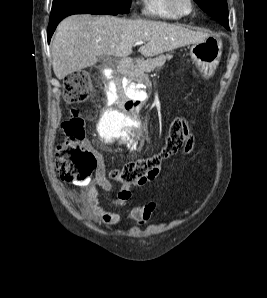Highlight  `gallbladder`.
I'll return each mask as SVG.
<instances>
[{"label":"gallbladder","instance_id":"1","mask_svg":"<svg viewBox=\"0 0 267 298\" xmlns=\"http://www.w3.org/2000/svg\"><path fill=\"white\" fill-rule=\"evenodd\" d=\"M109 59V56H99L100 61H108Z\"/></svg>","mask_w":267,"mask_h":298}]
</instances>
